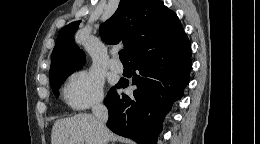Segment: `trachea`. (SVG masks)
<instances>
[{
	"mask_svg": "<svg viewBox=\"0 0 260 144\" xmlns=\"http://www.w3.org/2000/svg\"><path fill=\"white\" fill-rule=\"evenodd\" d=\"M119 59L121 60L122 63H128L127 55L124 50L119 51Z\"/></svg>",
	"mask_w": 260,
	"mask_h": 144,
	"instance_id": "obj_1",
	"label": "trachea"
}]
</instances>
